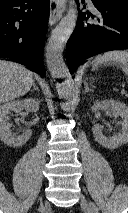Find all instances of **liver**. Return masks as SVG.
<instances>
[{
    "mask_svg": "<svg viewBox=\"0 0 128 213\" xmlns=\"http://www.w3.org/2000/svg\"><path fill=\"white\" fill-rule=\"evenodd\" d=\"M33 83L32 72L23 65L0 60V104L27 94Z\"/></svg>",
    "mask_w": 128,
    "mask_h": 213,
    "instance_id": "6515ba94",
    "label": "liver"
}]
</instances>
